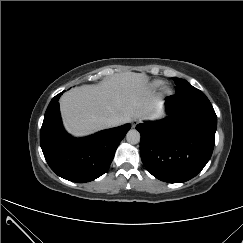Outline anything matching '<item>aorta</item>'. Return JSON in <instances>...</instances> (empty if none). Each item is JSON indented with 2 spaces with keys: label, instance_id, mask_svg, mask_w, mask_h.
<instances>
[{
  "label": "aorta",
  "instance_id": "762f6f07",
  "mask_svg": "<svg viewBox=\"0 0 243 243\" xmlns=\"http://www.w3.org/2000/svg\"><path fill=\"white\" fill-rule=\"evenodd\" d=\"M126 140L130 144H137L140 141V133L137 130H129L126 134Z\"/></svg>",
  "mask_w": 243,
  "mask_h": 243
}]
</instances>
